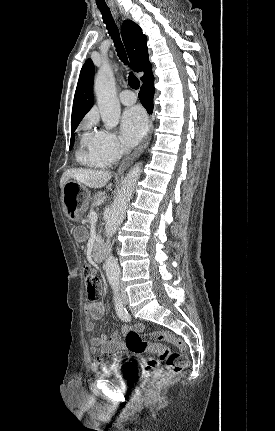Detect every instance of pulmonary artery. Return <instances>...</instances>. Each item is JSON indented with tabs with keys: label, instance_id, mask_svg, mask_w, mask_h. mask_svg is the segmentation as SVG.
<instances>
[{
	"label": "pulmonary artery",
	"instance_id": "e3ab8cb5",
	"mask_svg": "<svg viewBox=\"0 0 275 431\" xmlns=\"http://www.w3.org/2000/svg\"><path fill=\"white\" fill-rule=\"evenodd\" d=\"M119 99L123 105H132L136 102V96L130 90H124L120 93Z\"/></svg>",
	"mask_w": 275,
	"mask_h": 431
}]
</instances>
